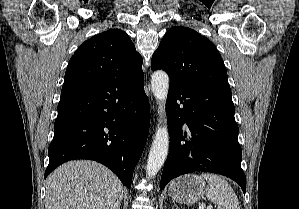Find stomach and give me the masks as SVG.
Here are the masks:
<instances>
[{"instance_id": "1", "label": "stomach", "mask_w": 299, "mask_h": 209, "mask_svg": "<svg viewBox=\"0 0 299 209\" xmlns=\"http://www.w3.org/2000/svg\"><path fill=\"white\" fill-rule=\"evenodd\" d=\"M204 180L194 174L176 178L169 187V195L178 203L193 204L204 196Z\"/></svg>"}]
</instances>
